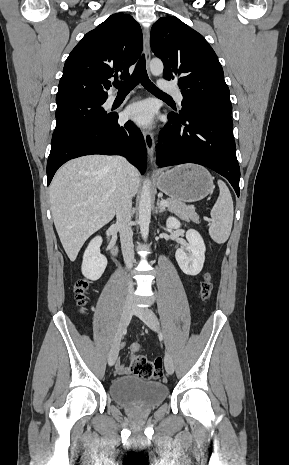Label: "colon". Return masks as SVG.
Listing matches in <instances>:
<instances>
[{
  "mask_svg": "<svg viewBox=\"0 0 289 465\" xmlns=\"http://www.w3.org/2000/svg\"><path fill=\"white\" fill-rule=\"evenodd\" d=\"M88 289V281L79 279L74 284V293L77 303L80 306L85 304V293ZM213 283L210 273L204 276L200 287V298L203 302L207 301L212 293ZM132 353V370L134 374L144 379H159L163 375L162 359L156 358L149 360L145 356L138 354L140 345L134 343L130 347Z\"/></svg>",
  "mask_w": 289,
  "mask_h": 465,
  "instance_id": "5ec220e1",
  "label": "colon"
}]
</instances>
